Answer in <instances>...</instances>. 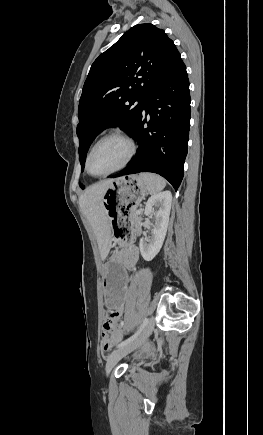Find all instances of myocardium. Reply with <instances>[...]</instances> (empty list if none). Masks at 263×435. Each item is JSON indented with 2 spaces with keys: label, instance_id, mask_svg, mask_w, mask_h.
<instances>
[{
  "label": "myocardium",
  "instance_id": "1",
  "mask_svg": "<svg viewBox=\"0 0 263 435\" xmlns=\"http://www.w3.org/2000/svg\"><path fill=\"white\" fill-rule=\"evenodd\" d=\"M111 138L119 139V140L123 141L126 144V146L128 148L127 157L124 160V162L120 166H118L117 168H115V169H113V170H111V171H109L107 173L95 174L90 169V157L92 155V152L94 151V149L96 148V146L98 144H100L104 140L111 139ZM135 153H136V144H135L134 140L131 137H129L128 135H126V134H124L122 132H118V131L109 132V133L104 134L103 136H101L99 139H97L94 142V144L91 146V148H90V150H89V152L87 154V157H86V162H85L86 171L91 176H93V177H99V178L100 177H106V176L112 175V174L117 173V172L121 171L122 169H124L131 162V160L133 159Z\"/></svg>",
  "mask_w": 263,
  "mask_h": 435
}]
</instances>
